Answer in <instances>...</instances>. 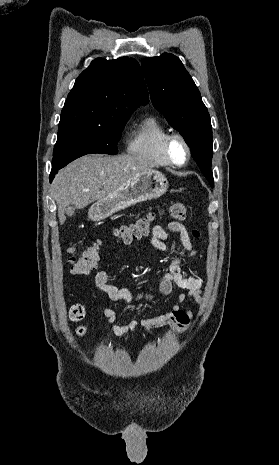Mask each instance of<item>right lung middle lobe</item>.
<instances>
[{
    "label": "right lung middle lobe",
    "instance_id": "obj_1",
    "mask_svg": "<svg viewBox=\"0 0 279 465\" xmlns=\"http://www.w3.org/2000/svg\"><path fill=\"white\" fill-rule=\"evenodd\" d=\"M130 111H116L100 124H73L59 127L52 167L62 168L90 153L117 154V142Z\"/></svg>",
    "mask_w": 279,
    "mask_h": 465
}]
</instances>
